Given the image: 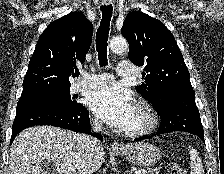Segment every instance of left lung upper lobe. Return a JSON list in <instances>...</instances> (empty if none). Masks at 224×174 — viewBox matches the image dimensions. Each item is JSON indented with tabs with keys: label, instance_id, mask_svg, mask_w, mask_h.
<instances>
[{
	"label": "left lung upper lobe",
	"instance_id": "5c2ea615",
	"mask_svg": "<svg viewBox=\"0 0 224 174\" xmlns=\"http://www.w3.org/2000/svg\"><path fill=\"white\" fill-rule=\"evenodd\" d=\"M129 43V58L138 66L145 83L137 91L152 105L166 92L194 93L189 72L171 32L159 20L140 12H130L121 29Z\"/></svg>",
	"mask_w": 224,
	"mask_h": 174
}]
</instances>
